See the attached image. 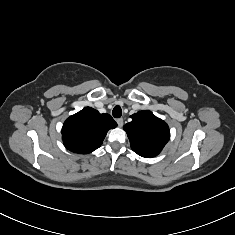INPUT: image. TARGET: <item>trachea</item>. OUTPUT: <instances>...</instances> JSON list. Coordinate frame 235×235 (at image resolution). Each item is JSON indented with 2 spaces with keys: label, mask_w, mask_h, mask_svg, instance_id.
Returning <instances> with one entry per match:
<instances>
[{
  "label": "trachea",
  "mask_w": 235,
  "mask_h": 235,
  "mask_svg": "<svg viewBox=\"0 0 235 235\" xmlns=\"http://www.w3.org/2000/svg\"><path fill=\"white\" fill-rule=\"evenodd\" d=\"M112 115L114 118H120L122 115V109L119 105H116L112 111Z\"/></svg>",
  "instance_id": "trachea-1"
}]
</instances>
